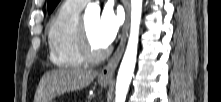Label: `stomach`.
I'll list each match as a JSON object with an SVG mask.
<instances>
[{
	"label": "stomach",
	"mask_w": 221,
	"mask_h": 102,
	"mask_svg": "<svg viewBox=\"0 0 221 102\" xmlns=\"http://www.w3.org/2000/svg\"><path fill=\"white\" fill-rule=\"evenodd\" d=\"M98 83H99L102 87H106V86L110 83V80H101V79H99V80H98Z\"/></svg>",
	"instance_id": "obj_1"
}]
</instances>
